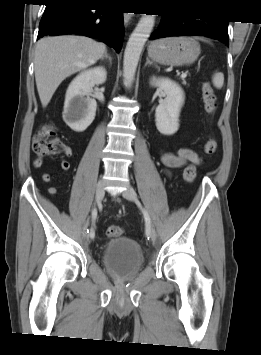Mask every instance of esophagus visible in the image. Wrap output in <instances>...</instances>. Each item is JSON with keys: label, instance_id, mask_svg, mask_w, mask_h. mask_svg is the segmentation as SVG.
<instances>
[{"label": "esophagus", "instance_id": "34e87169", "mask_svg": "<svg viewBox=\"0 0 261 355\" xmlns=\"http://www.w3.org/2000/svg\"><path fill=\"white\" fill-rule=\"evenodd\" d=\"M124 24L128 25L132 21V15L128 12L123 14Z\"/></svg>", "mask_w": 261, "mask_h": 355}]
</instances>
